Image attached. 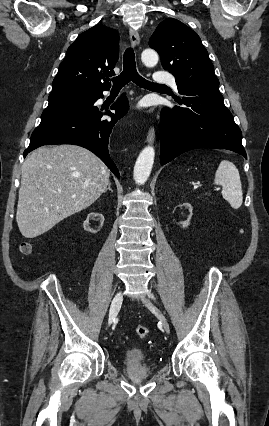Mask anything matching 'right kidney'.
Returning <instances> with one entry per match:
<instances>
[{
	"label": "right kidney",
	"mask_w": 269,
	"mask_h": 426,
	"mask_svg": "<svg viewBox=\"0 0 269 426\" xmlns=\"http://www.w3.org/2000/svg\"><path fill=\"white\" fill-rule=\"evenodd\" d=\"M99 218L101 220H99ZM103 215L99 213H89L88 217L86 218V222L84 223V229L87 230V232L90 235H93L96 231H101L104 228L105 221L103 220ZM97 222H93V221Z\"/></svg>",
	"instance_id": "ca27d5eb"
}]
</instances>
